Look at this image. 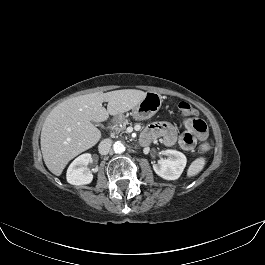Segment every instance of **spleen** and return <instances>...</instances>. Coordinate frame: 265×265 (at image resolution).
I'll return each instance as SVG.
<instances>
[{
	"label": "spleen",
	"mask_w": 265,
	"mask_h": 265,
	"mask_svg": "<svg viewBox=\"0 0 265 265\" xmlns=\"http://www.w3.org/2000/svg\"><path fill=\"white\" fill-rule=\"evenodd\" d=\"M205 164H206V161H205L204 157H199V158L195 159L188 168L187 176L193 177V176L197 175L199 172L202 171Z\"/></svg>",
	"instance_id": "obj_1"
}]
</instances>
